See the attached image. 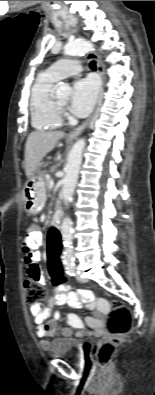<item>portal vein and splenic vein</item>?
I'll return each instance as SVG.
<instances>
[{
	"mask_svg": "<svg viewBox=\"0 0 155 395\" xmlns=\"http://www.w3.org/2000/svg\"><path fill=\"white\" fill-rule=\"evenodd\" d=\"M53 186H54V182H53V181H50V183H49V188H53Z\"/></svg>",
	"mask_w": 155,
	"mask_h": 395,
	"instance_id": "1",
	"label": "portal vein and splenic vein"
}]
</instances>
